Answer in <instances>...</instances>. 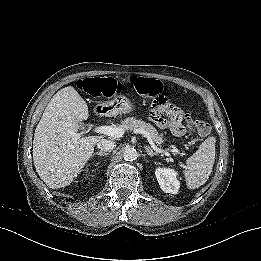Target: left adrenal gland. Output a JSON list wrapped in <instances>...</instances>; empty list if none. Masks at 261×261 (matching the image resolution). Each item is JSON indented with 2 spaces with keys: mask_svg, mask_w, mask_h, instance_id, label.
<instances>
[{
  "mask_svg": "<svg viewBox=\"0 0 261 261\" xmlns=\"http://www.w3.org/2000/svg\"><path fill=\"white\" fill-rule=\"evenodd\" d=\"M145 150H146L148 156H150V157H153V156H157V155H158L156 152H153V150H152L150 147H147V146H146V147H145Z\"/></svg>",
  "mask_w": 261,
  "mask_h": 261,
  "instance_id": "a2214340",
  "label": "left adrenal gland"
}]
</instances>
